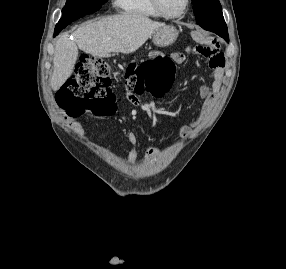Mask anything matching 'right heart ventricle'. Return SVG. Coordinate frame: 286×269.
<instances>
[{"mask_svg": "<svg viewBox=\"0 0 286 269\" xmlns=\"http://www.w3.org/2000/svg\"><path fill=\"white\" fill-rule=\"evenodd\" d=\"M114 4L122 14L137 18L161 17L151 0H115Z\"/></svg>", "mask_w": 286, "mask_h": 269, "instance_id": "right-heart-ventricle-1", "label": "right heart ventricle"}]
</instances>
